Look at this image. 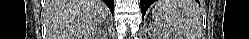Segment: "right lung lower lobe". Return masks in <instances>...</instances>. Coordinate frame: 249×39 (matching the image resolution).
Listing matches in <instances>:
<instances>
[{
	"instance_id": "obj_1",
	"label": "right lung lower lobe",
	"mask_w": 249,
	"mask_h": 39,
	"mask_svg": "<svg viewBox=\"0 0 249 39\" xmlns=\"http://www.w3.org/2000/svg\"><path fill=\"white\" fill-rule=\"evenodd\" d=\"M104 2L106 3V5L109 7L110 11L113 14V11H114V0H104Z\"/></svg>"
}]
</instances>
